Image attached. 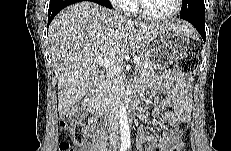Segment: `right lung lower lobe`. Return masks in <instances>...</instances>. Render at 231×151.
Instances as JSON below:
<instances>
[{
	"instance_id": "right-lung-lower-lobe-1",
	"label": "right lung lower lobe",
	"mask_w": 231,
	"mask_h": 151,
	"mask_svg": "<svg viewBox=\"0 0 231 151\" xmlns=\"http://www.w3.org/2000/svg\"><path fill=\"white\" fill-rule=\"evenodd\" d=\"M79 2V0H50L49 10H48V26L59 11L64 7L69 6L73 3ZM93 2L98 3L104 7L111 8L109 0H93Z\"/></svg>"
}]
</instances>
